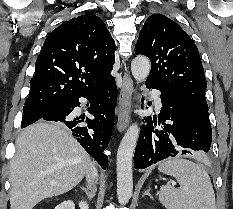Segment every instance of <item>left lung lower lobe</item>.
Instances as JSON below:
<instances>
[{"mask_svg": "<svg viewBox=\"0 0 233 209\" xmlns=\"http://www.w3.org/2000/svg\"><path fill=\"white\" fill-rule=\"evenodd\" d=\"M145 84L161 92V128H155V117L146 118L134 153V167L144 169L170 156L190 155V150L208 152L212 140L208 110L156 81L148 79Z\"/></svg>", "mask_w": 233, "mask_h": 209, "instance_id": "obj_1", "label": "left lung lower lobe"}]
</instances>
